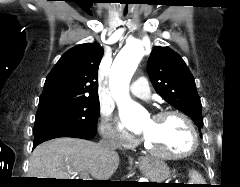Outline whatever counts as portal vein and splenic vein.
Segmentation results:
<instances>
[{"label": "portal vein and splenic vein", "instance_id": "18ae733b", "mask_svg": "<svg viewBox=\"0 0 240 187\" xmlns=\"http://www.w3.org/2000/svg\"><path fill=\"white\" fill-rule=\"evenodd\" d=\"M81 178H82L83 180H92L91 178H89L87 172L82 173V174H81Z\"/></svg>", "mask_w": 240, "mask_h": 187}]
</instances>
